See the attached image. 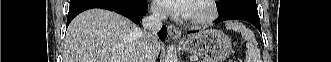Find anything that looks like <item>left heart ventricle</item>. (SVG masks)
<instances>
[{"mask_svg": "<svg viewBox=\"0 0 331 62\" xmlns=\"http://www.w3.org/2000/svg\"><path fill=\"white\" fill-rule=\"evenodd\" d=\"M203 12V7L201 4H199L197 1H194L193 5H192V12L190 14L189 17L197 15L199 13Z\"/></svg>", "mask_w": 331, "mask_h": 62, "instance_id": "b2bd125f", "label": "left heart ventricle"}]
</instances>
